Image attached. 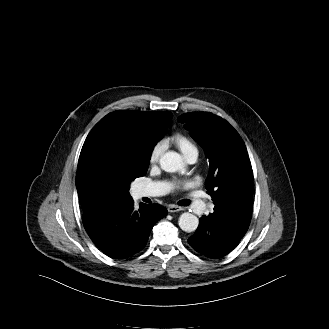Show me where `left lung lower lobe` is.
I'll return each mask as SVG.
<instances>
[{"label": "left lung lower lobe", "instance_id": "obj_1", "mask_svg": "<svg viewBox=\"0 0 329 329\" xmlns=\"http://www.w3.org/2000/svg\"><path fill=\"white\" fill-rule=\"evenodd\" d=\"M252 188L227 205L214 207V213L199 220L189 244L209 258L227 255L245 235L251 220Z\"/></svg>", "mask_w": 329, "mask_h": 329}]
</instances>
